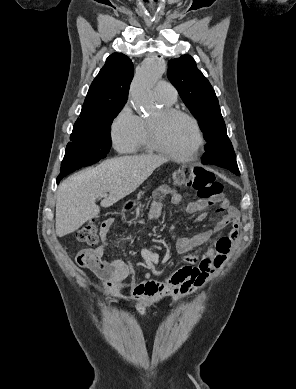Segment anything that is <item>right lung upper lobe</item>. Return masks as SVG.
<instances>
[{
	"instance_id": "obj_1",
	"label": "right lung upper lobe",
	"mask_w": 296,
	"mask_h": 389,
	"mask_svg": "<svg viewBox=\"0 0 296 389\" xmlns=\"http://www.w3.org/2000/svg\"><path fill=\"white\" fill-rule=\"evenodd\" d=\"M133 64L126 55L113 53L92 82L80 118L103 110L123 107L133 78Z\"/></svg>"
}]
</instances>
